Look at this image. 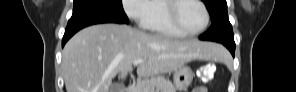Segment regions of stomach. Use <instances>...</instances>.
I'll list each match as a JSON object with an SVG mask.
<instances>
[{"mask_svg":"<svg viewBox=\"0 0 296 92\" xmlns=\"http://www.w3.org/2000/svg\"><path fill=\"white\" fill-rule=\"evenodd\" d=\"M194 77V73L189 66H182L175 71L174 74V87L178 92H182L187 89L191 84Z\"/></svg>","mask_w":296,"mask_h":92,"instance_id":"obj_1","label":"stomach"}]
</instances>
